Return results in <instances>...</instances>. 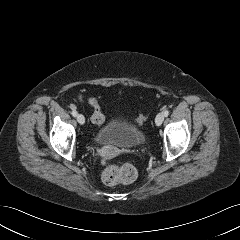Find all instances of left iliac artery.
I'll return each mask as SVG.
<instances>
[{
  "mask_svg": "<svg viewBox=\"0 0 240 240\" xmlns=\"http://www.w3.org/2000/svg\"><path fill=\"white\" fill-rule=\"evenodd\" d=\"M169 115V111L168 110H165L164 111V116L167 117Z\"/></svg>",
  "mask_w": 240,
  "mask_h": 240,
  "instance_id": "44dca946",
  "label": "left iliac artery"
}]
</instances>
